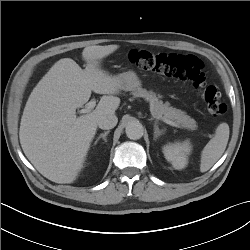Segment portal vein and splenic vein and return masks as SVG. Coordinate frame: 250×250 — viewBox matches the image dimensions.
Here are the masks:
<instances>
[{
	"mask_svg": "<svg viewBox=\"0 0 250 250\" xmlns=\"http://www.w3.org/2000/svg\"><path fill=\"white\" fill-rule=\"evenodd\" d=\"M96 106V101L94 99L90 100L86 105L84 109L80 110L81 114H85V113H89L94 107ZM163 121L171 126L174 127H179L178 124H176L175 122L168 120V119H163ZM209 137L211 138L212 136L209 135Z\"/></svg>",
	"mask_w": 250,
	"mask_h": 250,
	"instance_id": "1",
	"label": "portal vein and splenic vein"
}]
</instances>
